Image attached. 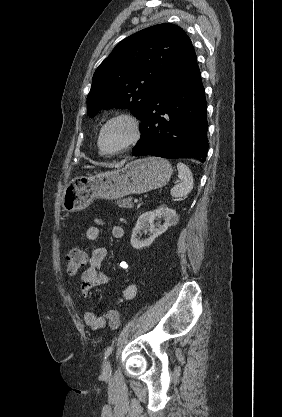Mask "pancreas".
<instances>
[{"instance_id": "pancreas-1", "label": "pancreas", "mask_w": 282, "mask_h": 417, "mask_svg": "<svg viewBox=\"0 0 282 417\" xmlns=\"http://www.w3.org/2000/svg\"><path fill=\"white\" fill-rule=\"evenodd\" d=\"M133 196H128V198H119V200H115L117 202L118 206H121V209H123V206H126V209H133Z\"/></svg>"}]
</instances>
